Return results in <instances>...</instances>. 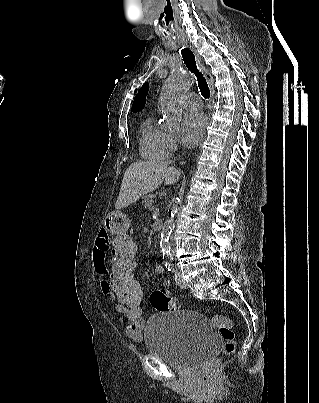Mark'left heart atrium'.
Returning <instances> with one entry per match:
<instances>
[{
    "mask_svg": "<svg viewBox=\"0 0 319 403\" xmlns=\"http://www.w3.org/2000/svg\"><path fill=\"white\" fill-rule=\"evenodd\" d=\"M207 127V118L200 112L187 114L181 124V139L185 146L193 147L201 140Z\"/></svg>",
    "mask_w": 319,
    "mask_h": 403,
    "instance_id": "obj_1",
    "label": "left heart atrium"
}]
</instances>
